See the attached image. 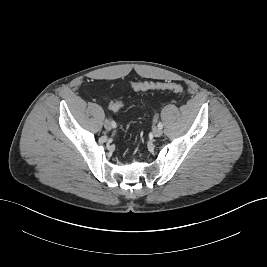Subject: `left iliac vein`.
I'll list each match as a JSON object with an SVG mask.
<instances>
[{
    "instance_id": "left-iliac-vein-1",
    "label": "left iliac vein",
    "mask_w": 267,
    "mask_h": 267,
    "mask_svg": "<svg viewBox=\"0 0 267 267\" xmlns=\"http://www.w3.org/2000/svg\"><path fill=\"white\" fill-rule=\"evenodd\" d=\"M163 131H162V128L160 127H155L153 129V134L155 137H160L162 135Z\"/></svg>"
}]
</instances>
